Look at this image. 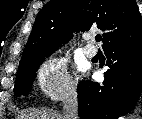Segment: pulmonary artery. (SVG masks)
Instances as JSON below:
<instances>
[{
	"instance_id": "pulmonary-artery-1",
	"label": "pulmonary artery",
	"mask_w": 142,
	"mask_h": 119,
	"mask_svg": "<svg viewBox=\"0 0 142 119\" xmlns=\"http://www.w3.org/2000/svg\"><path fill=\"white\" fill-rule=\"evenodd\" d=\"M89 38L90 37L88 36L87 39H89ZM83 51H84V54L89 58L94 57L97 54L96 47H94L91 44L84 46Z\"/></svg>"
}]
</instances>
